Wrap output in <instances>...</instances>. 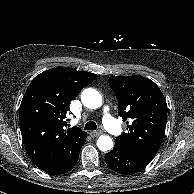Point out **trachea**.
Returning <instances> with one entry per match:
<instances>
[{
  "label": "trachea",
  "instance_id": "3493384b",
  "mask_svg": "<svg viewBox=\"0 0 194 194\" xmlns=\"http://www.w3.org/2000/svg\"><path fill=\"white\" fill-rule=\"evenodd\" d=\"M85 130H96L97 129V125L94 121H88L86 124H85V127H84Z\"/></svg>",
  "mask_w": 194,
  "mask_h": 194
}]
</instances>
